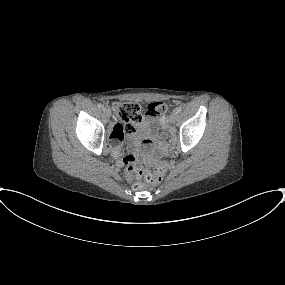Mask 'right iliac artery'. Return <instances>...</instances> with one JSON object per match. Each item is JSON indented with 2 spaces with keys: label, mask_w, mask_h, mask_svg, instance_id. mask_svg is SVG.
Returning a JSON list of instances; mask_svg holds the SVG:
<instances>
[{
  "label": "right iliac artery",
  "mask_w": 285,
  "mask_h": 285,
  "mask_svg": "<svg viewBox=\"0 0 285 285\" xmlns=\"http://www.w3.org/2000/svg\"><path fill=\"white\" fill-rule=\"evenodd\" d=\"M97 106H98V108H102L103 107V105L101 103H99Z\"/></svg>",
  "instance_id": "obj_1"
}]
</instances>
